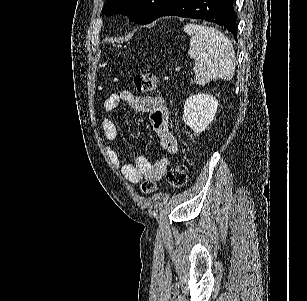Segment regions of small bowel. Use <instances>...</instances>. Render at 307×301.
Here are the masks:
<instances>
[{"mask_svg":"<svg viewBox=\"0 0 307 301\" xmlns=\"http://www.w3.org/2000/svg\"><path fill=\"white\" fill-rule=\"evenodd\" d=\"M121 103L137 112L149 114L151 126L159 137L162 149L169 154L176 153L177 141L170 130L168 109L162 98L156 96L139 97L130 91L123 90L106 98L104 109L108 112L115 111ZM102 131L106 142V152L110 160L128 181L138 183L143 178L156 181L164 176L169 166L168 158H161L151 163L146 156L138 155L133 163H123L118 150L110 146L118 137L116 124L106 118L102 121Z\"/></svg>","mask_w":307,"mask_h":301,"instance_id":"1","label":"small bowel"}]
</instances>
